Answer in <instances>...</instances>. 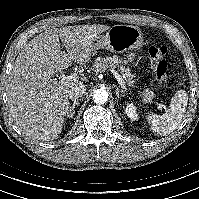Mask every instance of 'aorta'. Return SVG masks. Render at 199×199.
<instances>
[{"mask_svg":"<svg viewBox=\"0 0 199 199\" xmlns=\"http://www.w3.org/2000/svg\"><path fill=\"white\" fill-rule=\"evenodd\" d=\"M93 100L96 104H104L108 101V92L105 89H97L94 91Z\"/></svg>","mask_w":199,"mask_h":199,"instance_id":"aorta-1","label":"aorta"}]
</instances>
